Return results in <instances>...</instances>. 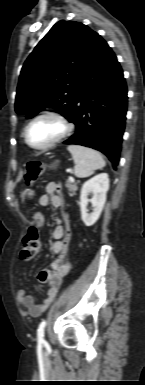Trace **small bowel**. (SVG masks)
<instances>
[{
    "label": "small bowel",
    "mask_w": 145,
    "mask_h": 385,
    "mask_svg": "<svg viewBox=\"0 0 145 385\" xmlns=\"http://www.w3.org/2000/svg\"><path fill=\"white\" fill-rule=\"evenodd\" d=\"M39 204L41 206L51 205L53 208H62L64 200L60 193V185L56 182L48 183L46 186V194L40 196ZM52 236L54 241L51 244V250L53 253L59 255V257L52 268L43 269L38 273L39 282L50 285L47 297L40 302H36L25 290L21 289L17 292V302L19 306L25 309L32 317H39L48 308L57 295L63 278L71 268L70 263L66 261H64L60 267L57 266L62 260V256H66L70 240V228L66 215L56 220Z\"/></svg>",
    "instance_id": "small-bowel-1"
}]
</instances>
